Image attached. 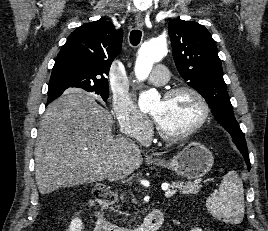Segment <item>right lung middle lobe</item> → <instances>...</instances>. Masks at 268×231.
I'll list each match as a JSON object with an SVG mask.
<instances>
[{
	"label": "right lung middle lobe",
	"mask_w": 268,
	"mask_h": 231,
	"mask_svg": "<svg viewBox=\"0 0 268 231\" xmlns=\"http://www.w3.org/2000/svg\"><path fill=\"white\" fill-rule=\"evenodd\" d=\"M63 91H64L63 88H51L48 90V95H51V94L60 95L63 93ZM91 92H95L96 94L101 95L104 101H106L109 96V89H96V90H92Z\"/></svg>",
	"instance_id": "1"
}]
</instances>
